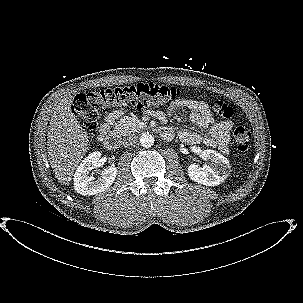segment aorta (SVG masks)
I'll list each match as a JSON object with an SVG mask.
<instances>
[{
  "label": "aorta",
  "instance_id": "aorta-1",
  "mask_svg": "<svg viewBox=\"0 0 303 303\" xmlns=\"http://www.w3.org/2000/svg\"><path fill=\"white\" fill-rule=\"evenodd\" d=\"M139 141L141 146L149 148L154 144V137L149 132H145L140 135Z\"/></svg>",
  "mask_w": 303,
  "mask_h": 303
}]
</instances>
